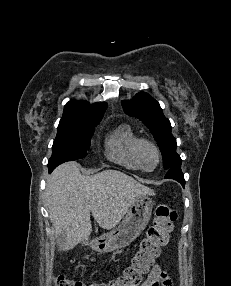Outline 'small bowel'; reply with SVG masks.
Instances as JSON below:
<instances>
[{"label":"small bowel","mask_w":231,"mask_h":286,"mask_svg":"<svg viewBox=\"0 0 231 286\" xmlns=\"http://www.w3.org/2000/svg\"><path fill=\"white\" fill-rule=\"evenodd\" d=\"M141 286H172V281L162 265L155 264Z\"/></svg>","instance_id":"1"}]
</instances>
